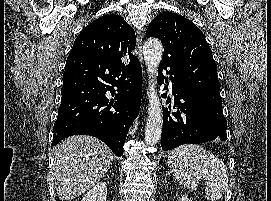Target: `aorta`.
<instances>
[{"instance_id":"obj_1","label":"aorta","mask_w":271,"mask_h":201,"mask_svg":"<svg viewBox=\"0 0 271 201\" xmlns=\"http://www.w3.org/2000/svg\"><path fill=\"white\" fill-rule=\"evenodd\" d=\"M143 55L149 75V108L144 140L148 145L156 144L162 132V109L156 92V74L163 56V46L158 39L147 40L143 45Z\"/></svg>"}]
</instances>
